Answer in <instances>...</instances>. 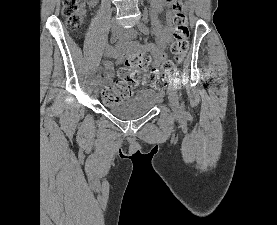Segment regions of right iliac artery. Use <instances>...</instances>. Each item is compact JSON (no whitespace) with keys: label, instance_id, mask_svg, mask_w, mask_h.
<instances>
[{"label":"right iliac artery","instance_id":"right-iliac-artery-1","mask_svg":"<svg viewBox=\"0 0 277 225\" xmlns=\"http://www.w3.org/2000/svg\"><path fill=\"white\" fill-rule=\"evenodd\" d=\"M130 40V38L128 37H121L119 38V40L116 42V46H122L125 45L126 43H128V41ZM99 83V76L96 75L93 79V84H97Z\"/></svg>","mask_w":277,"mask_h":225}]
</instances>
